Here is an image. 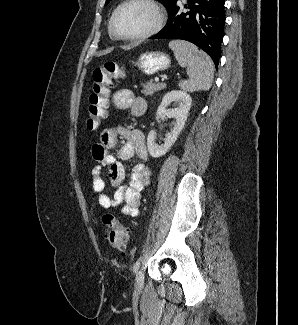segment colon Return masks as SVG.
<instances>
[{"label": "colon", "instance_id": "1", "mask_svg": "<svg viewBox=\"0 0 298 325\" xmlns=\"http://www.w3.org/2000/svg\"><path fill=\"white\" fill-rule=\"evenodd\" d=\"M124 76V68L115 62H106L92 72L93 91L90 95L86 125L91 131L97 130L107 115V97L113 80ZM105 225V239L115 249L125 251L129 241L128 229L117 218L106 213L102 217Z\"/></svg>", "mask_w": 298, "mask_h": 325}]
</instances>
